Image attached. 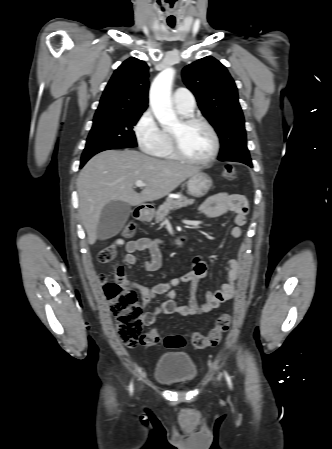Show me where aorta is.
Returning a JSON list of instances; mask_svg holds the SVG:
<instances>
[{"label": "aorta", "instance_id": "1", "mask_svg": "<svg viewBox=\"0 0 332 449\" xmlns=\"http://www.w3.org/2000/svg\"><path fill=\"white\" fill-rule=\"evenodd\" d=\"M174 75L175 70L173 68L164 69L152 82L149 93V101L153 113L164 127H174L179 123L171 102V88Z\"/></svg>", "mask_w": 332, "mask_h": 449}]
</instances>
